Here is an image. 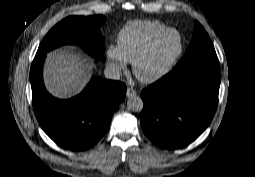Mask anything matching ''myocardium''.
<instances>
[{
	"instance_id": "1",
	"label": "myocardium",
	"mask_w": 255,
	"mask_h": 177,
	"mask_svg": "<svg viewBox=\"0 0 255 177\" xmlns=\"http://www.w3.org/2000/svg\"><path fill=\"white\" fill-rule=\"evenodd\" d=\"M169 33H176L178 36V48L177 50L170 56V58L166 61V63L162 66V68L156 72L154 75L149 77H141L137 73L138 65L148 56V54L152 51L154 46L157 44V42L164 37L165 35ZM183 50V38L181 34L174 28H166L162 30L161 32L154 35L150 41L143 47V49L138 53V55L135 57L132 63V71L133 74L143 83H155L159 81L161 78H163L172 65L175 63V61L178 59V57L181 55Z\"/></svg>"
}]
</instances>
